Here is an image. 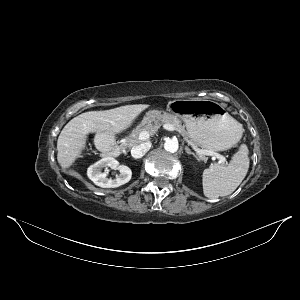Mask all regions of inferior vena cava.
I'll return each instance as SVG.
<instances>
[{
	"instance_id": "602c4592",
	"label": "inferior vena cava",
	"mask_w": 300,
	"mask_h": 300,
	"mask_svg": "<svg viewBox=\"0 0 300 300\" xmlns=\"http://www.w3.org/2000/svg\"><path fill=\"white\" fill-rule=\"evenodd\" d=\"M150 147L151 143L149 142L134 146L131 149V155L135 159L142 158L149 151Z\"/></svg>"
}]
</instances>
